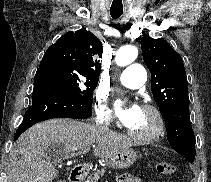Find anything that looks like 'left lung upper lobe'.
<instances>
[{
	"label": "left lung upper lobe",
	"instance_id": "1",
	"mask_svg": "<svg viewBox=\"0 0 211 182\" xmlns=\"http://www.w3.org/2000/svg\"><path fill=\"white\" fill-rule=\"evenodd\" d=\"M143 60L151 72V90L164 118L171 147L190 163L195 137L190 123L186 71L181 56L164 39L144 35Z\"/></svg>",
	"mask_w": 211,
	"mask_h": 182
}]
</instances>
